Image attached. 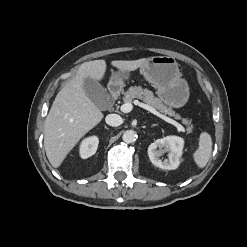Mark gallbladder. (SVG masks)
Here are the masks:
<instances>
[{"instance_id": "obj_1", "label": "gallbladder", "mask_w": 247, "mask_h": 247, "mask_svg": "<svg viewBox=\"0 0 247 247\" xmlns=\"http://www.w3.org/2000/svg\"><path fill=\"white\" fill-rule=\"evenodd\" d=\"M83 87L87 96L94 104L99 108H103L106 101L109 99L107 90L99 82L90 78L85 79Z\"/></svg>"}]
</instances>
